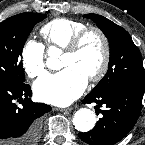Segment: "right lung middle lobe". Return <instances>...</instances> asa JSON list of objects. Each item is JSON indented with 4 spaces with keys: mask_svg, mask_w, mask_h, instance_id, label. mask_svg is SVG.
<instances>
[{
    "mask_svg": "<svg viewBox=\"0 0 145 145\" xmlns=\"http://www.w3.org/2000/svg\"><path fill=\"white\" fill-rule=\"evenodd\" d=\"M46 17V14L27 12L0 23V82H25L23 64L19 57L34 25Z\"/></svg>",
    "mask_w": 145,
    "mask_h": 145,
    "instance_id": "dd1d6c3e",
    "label": "right lung middle lobe"
}]
</instances>
